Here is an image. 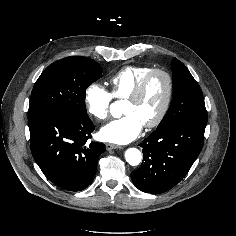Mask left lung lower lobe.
Segmentation results:
<instances>
[{
  "instance_id": "left-lung-lower-lobe-1",
  "label": "left lung lower lobe",
  "mask_w": 236,
  "mask_h": 236,
  "mask_svg": "<svg viewBox=\"0 0 236 236\" xmlns=\"http://www.w3.org/2000/svg\"><path fill=\"white\" fill-rule=\"evenodd\" d=\"M204 124L177 123L152 132L140 146L143 162L131 173L143 192L160 194L173 188L188 173L204 143Z\"/></svg>"
}]
</instances>
